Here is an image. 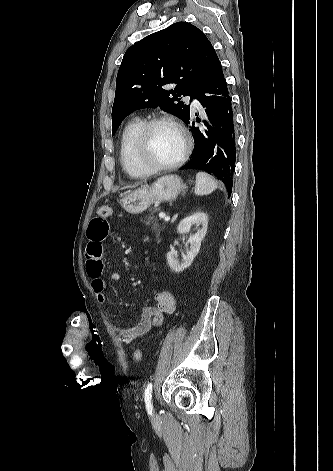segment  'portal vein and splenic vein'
<instances>
[{
  "instance_id": "18ae733b",
  "label": "portal vein and splenic vein",
  "mask_w": 333,
  "mask_h": 471,
  "mask_svg": "<svg viewBox=\"0 0 333 471\" xmlns=\"http://www.w3.org/2000/svg\"><path fill=\"white\" fill-rule=\"evenodd\" d=\"M159 218L164 219V220H166V221H168V220L170 219V218L167 217L166 214L163 213V212H160V213H159Z\"/></svg>"
}]
</instances>
